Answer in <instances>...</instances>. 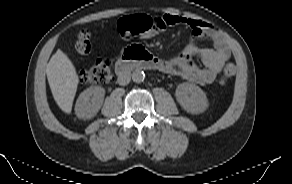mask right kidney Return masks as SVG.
Masks as SVG:
<instances>
[{"label":"right kidney","mask_w":292,"mask_h":184,"mask_svg":"<svg viewBox=\"0 0 292 184\" xmlns=\"http://www.w3.org/2000/svg\"><path fill=\"white\" fill-rule=\"evenodd\" d=\"M104 96L105 89L99 86L84 90L76 101V115L82 119L94 117L102 106Z\"/></svg>","instance_id":"1"}]
</instances>
